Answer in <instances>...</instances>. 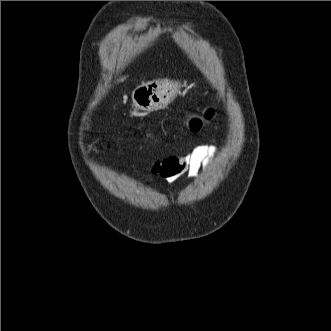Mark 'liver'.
I'll use <instances>...</instances> for the list:
<instances>
[{
    "label": "liver",
    "mask_w": 331,
    "mask_h": 331,
    "mask_svg": "<svg viewBox=\"0 0 331 331\" xmlns=\"http://www.w3.org/2000/svg\"><path fill=\"white\" fill-rule=\"evenodd\" d=\"M126 79V77H123L120 79L121 82H123Z\"/></svg>",
    "instance_id": "obj_1"
}]
</instances>
